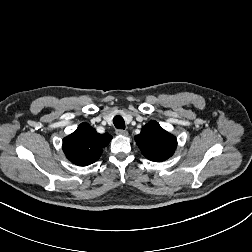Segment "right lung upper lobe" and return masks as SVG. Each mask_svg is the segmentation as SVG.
I'll return each mask as SVG.
<instances>
[{"label": "right lung upper lobe", "instance_id": "right-lung-upper-lobe-1", "mask_svg": "<svg viewBox=\"0 0 252 252\" xmlns=\"http://www.w3.org/2000/svg\"><path fill=\"white\" fill-rule=\"evenodd\" d=\"M112 136L99 134L88 123H81L69 136L63 139L66 157L78 166H87L97 161Z\"/></svg>", "mask_w": 252, "mask_h": 252}]
</instances>
